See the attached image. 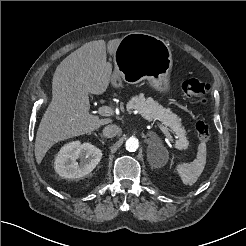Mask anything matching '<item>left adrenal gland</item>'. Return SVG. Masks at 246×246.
I'll use <instances>...</instances> for the list:
<instances>
[{
    "mask_svg": "<svg viewBox=\"0 0 246 246\" xmlns=\"http://www.w3.org/2000/svg\"><path fill=\"white\" fill-rule=\"evenodd\" d=\"M153 139L152 140H145L146 142H147V144H148V148H150V147H152V146H156V144H160L161 142V140H160V138L156 135V134H154L153 133Z\"/></svg>",
    "mask_w": 246,
    "mask_h": 246,
    "instance_id": "a2214340",
    "label": "left adrenal gland"
}]
</instances>
